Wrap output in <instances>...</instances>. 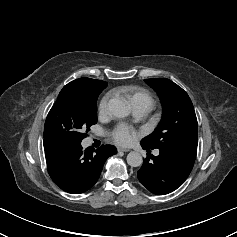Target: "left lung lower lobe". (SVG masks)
<instances>
[{
    "label": "left lung lower lobe",
    "mask_w": 237,
    "mask_h": 237,
    "mask_svg": "<svg viewBox=\"0 0 237 237\" xmlns=\"http://www.w3.org/2000/svg\"><path fill=\"white\" fill-rule=\"evenodd\" d=\"M142 147L145 150L150 149L144 144ZM196 153L197 151L179 149L160 150L158 156L148 153L137 172L138 179L150 192L158 195L168 194L187 179Z\"/></svg>",
    "instance_id": "1"
}]
</instances>
